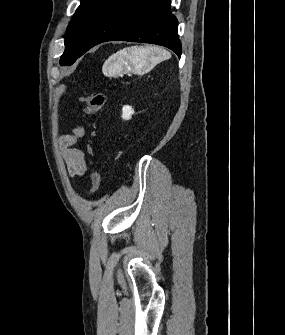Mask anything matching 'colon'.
<instances>
[{
	"instance_id": "1",
	"label": "colon",
	"mask_w": 285,
	"mask_h": 335,
	"mask_svg": "<svg viewBox=\"0 0 285 335\" xmlns=\"http://www.w3.org/2000/svg\"><path fill=\"white\" fill-rule=\"evenodd\" d=\"M84 103V113L88 118L93 117L103 108L105 104V95L100 92H93L80 97ZM91 195H95L102 186L101 177L97 168H93L90 174Z\"/></svg>"
}]
</instances>
